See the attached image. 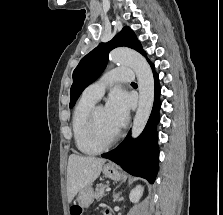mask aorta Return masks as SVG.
Returning <instances> with one entry per match:
<instances>
[{"instance_id":"obj_1","label":"aorta","mask_w":223,"mask_h":215,"mask_svg":"<svg viewBox=\"0 0 223 215\" xmlns=\"http://www.w3.org/2000/svg\"><path fill=\"white\" fill-rule=\"evenodd\" d=\"M110 62L123 64L132 68L138 78L139 104L133 121L132 137H137L143 131L153 108L154 102V78L149 64L145 58L128 50V48H116L109 54Z\"/></svg>"}]
</instances>
